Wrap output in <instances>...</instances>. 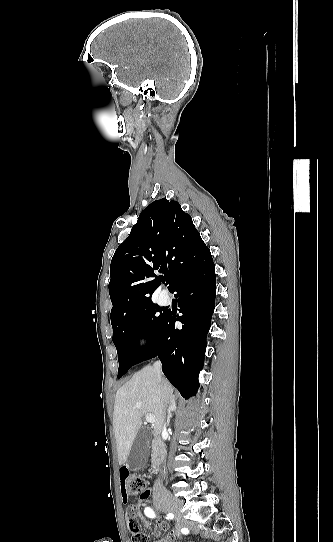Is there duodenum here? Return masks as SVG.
<instances>
[{"label":"duodenum","instance_id":"1","mask_svg":"<svg viewBox=\"0 0 333 542\" xmlns=\"http://www.w3.org/2000/svg\"><path fill=\"white\" fill-rule=\"evenodd\" d=\"M166 456V448L164 444L159 440H154L152 442V454H151V465L154 469H157L161 463L164 461Z\"/></svg>","mask_w":333,"mask_h":542}]
</instances>
